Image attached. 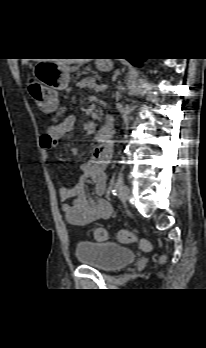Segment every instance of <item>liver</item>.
<instances>
[{
  "mask_svg": "<svg viewBox=\"0 0 206 348\" xmlns=\"http://www.w3.org/2000/svg\"><path fill=\"white\" fill-rule=\"evenodd\" d=\"M55 63L57 64H72V63H79V64H83V63H87L89 61H91V59H55L53 60ZM24 63L27 62V59H24L23 61Z\"/></svg>",
  "mask_w": 206,
  "mask_h": 348,
  "instance_id": "6515ba94",
  "label": "liver"
}]
</instances>
